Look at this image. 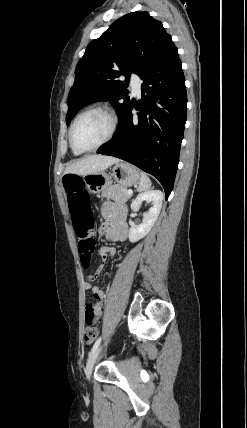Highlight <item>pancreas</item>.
Wrapping results in <instances>:
<instances>
[{
    "label": "pancreas",
    "instance_id": "1",
    "mask_svg": "<svg viewBox=\"0 0 247 428\" xmlns=\"http://www.w3.org/2000/svg\"><path fill=\"white\" fill-rule=\"evenodd\" d=\"M103 197L112 199L115 202L124 203L131 196L127 193V188L123 185H111L103 191Z\"/></svg>",
    "mask_w": 247,
    "mask_h": 428
}]
</instances>
